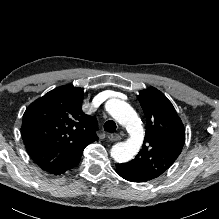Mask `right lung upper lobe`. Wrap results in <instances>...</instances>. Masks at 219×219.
I'll return each instance as SVG.
<instances>
[{"label": "right lung upper lobe", "mask_w": 219, "mask_h": 219, "mask_svg": "<svg viewBox=\"0 0 219 219\" xmlns=\"http://www.w3.org/2000/svg\"><path fill=\"white\" fill-rule=\"evenodd\" d=\"M83 97L81 88L60 86L31 103L23 115L26 150L47 173L77 165L85 147L98 140L97 119L82 111Z\"/></svg>", "instance_id": "obj_1"}]
</instances>
